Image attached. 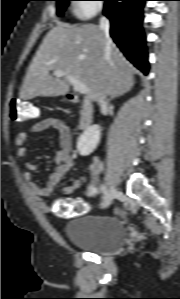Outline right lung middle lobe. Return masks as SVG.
<instances>
[{
    "label": "right lung middle lobe",
    "instance_id": "1",
    "mask_svg": "<svg viewBox=\"0 0 180 299\" xmlns=\"http://www.w3.org/2000/svg\"><path fill=\"white\" fill-rule=\"evenodd\" d=\"M56 1L58 2L57 14L59 16H62L66 6L68 5V1L71 0H56Z\"/></svg>",
    "mask_w": 180,
    "mask_h": 299
}]
</instances>
